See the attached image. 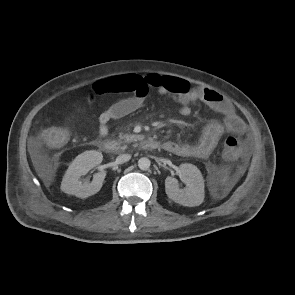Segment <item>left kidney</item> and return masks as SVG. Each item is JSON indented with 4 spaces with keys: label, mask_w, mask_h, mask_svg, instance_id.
<instances>
[{
    "label": "left kidney",
    "mask_w": 295,
    "mask_h": 295,
    "mask_svg": "<svg viewBox=\"0 0 295 295\" xmlns=\"http://www.w3.org/2000/svg\"><path fill=\"white\" fill-rule=\"evenodd\" d=\"M180 174L186 183L185 189H179L176 178L168 176L165 180L167 196L174 202L184 206L194 207L204 200V179L200 170L192 164H181Z\"/></svg>",
    "instance_id": "1"
}]
</instances>
